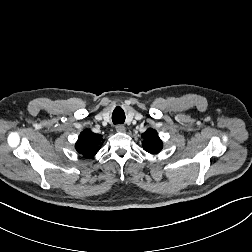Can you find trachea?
Here are the masks:
<instances>
[{"label":"trachea","mask_w":252,"mask_h":252,"mask_svg":"<svg viewBox=\"0 0 252 252\" xmlns=\"http://www.w3.org/2000/svg\"><path fill=\"white\" fill-rule=\"evenodd\" d=\"M112 121L114 124H123L125 121V114L121 108H116L112 114Z\"/></svg>","instance_id":"obj_1"}]
</instances>
